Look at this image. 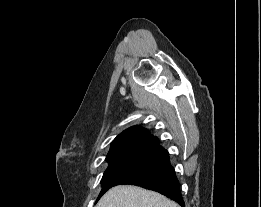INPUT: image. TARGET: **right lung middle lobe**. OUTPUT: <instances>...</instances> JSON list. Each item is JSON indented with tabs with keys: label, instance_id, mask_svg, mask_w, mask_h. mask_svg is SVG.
<instances>
[{
	"label": "right lung middle lobe",
	"instance_id": "right-lung-middle-lobe-1",
	"mask_svg": "<svg viewBox=\"0 0 261 207\" xmlns=\"http://www.w3.org/2000/svg\"><path fill=\"white\" fill-rule=\"evenodd\" d=\"M158 164V162L153 160H122L109 163L102 177V190L96 202L113 186L124 184L131 178L154 168Z\"/></svg>",
	"mask_w": 261,
	"mask_h": 207
}]
</instances>
